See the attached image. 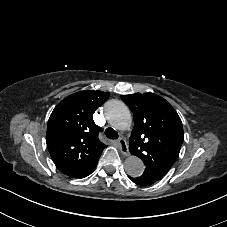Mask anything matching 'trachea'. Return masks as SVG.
Segmentation results:
<instances>
[{
    "label": "trachea",
    "mask_w": 227,
    "mask_h": 227,
    "mask_svg": "<svg viewBox=\"0 0 227 227\" xmlns=\"http://www.w3.org/2000/svg\"><path fill=\"white\" fill-rule=\"evenodd\" d=\"M105 135L108 139H118V132H116L113 128H107L105 130Z\"/></svg>",
    "instance_id": "obj_1"
}]
</instances>
